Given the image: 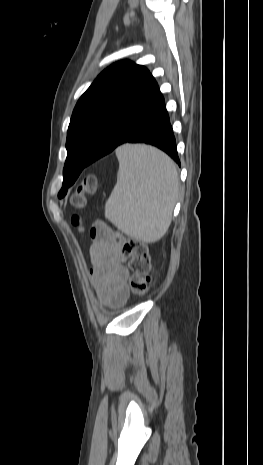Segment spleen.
<instances>
[{"instance_id":"3e777b00","label":"spleen","mask_w":263,"mask_h":465,"mask_svg":"<svg viewBox=\"0 0 263 465\" xmlns=\"http://www.w3.org/2000/svg\"><path fill=\"white\" fill-rule=\"evenodd\" d=\"M117 183L105 204V217L132 238L152 243L168 230L179 178L174 162L144 145L116 150Z\"/></svg>"}]
</instances>
